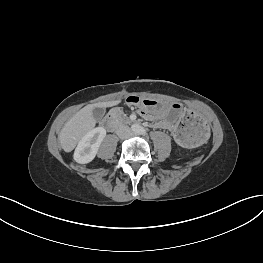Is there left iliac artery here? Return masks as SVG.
Listing matches in <instances>:
<instances>
[{
	"instance_id": "left-iliac-artery-1",
	"label": "left iliac artery",
	"mask_w": 263,
	"mask_h": 263,
	"mask_svg": "<svg viewBox=\"0 0 263 263\" xmlns=\"http://www.w3.org/2000/svg\"><path fill=\"white\" fill-rule=\"evenodd\" d=\"M140 133H141L142 135H146V134H147L146 130H145L143 127L140 128Z\"/></svg>"
}]
</instances>
